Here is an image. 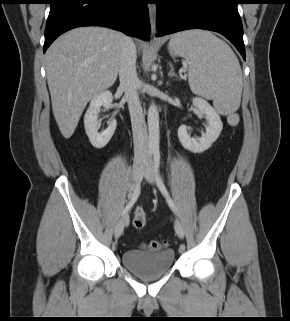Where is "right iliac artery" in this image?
Wrapping results in <instances>:
<instances>
[{
  "mask_svg": "<svg viewBox=\"0 0 290 321\" xmlns=\"http://www.w3.org/2000/svg\"><path fill=\"white\" fill-rule=\"evenodd\" d=\"M151 156V154H150ZM140 189H141V186H140V182H138V184L136 185L134 191H133V194L131 196V199L129 201V203L126 205V207L124 208L123 210V215L127 214L128 211L131 209V207L134 205V203L136 202L139 194H140Z\"/></svg>",
  "mask_w": 290,
  "mask_h": 321,
  "instance_id": "right-iliac-artery-1",
  "label": "right iliac artery"
}]
</instances>
